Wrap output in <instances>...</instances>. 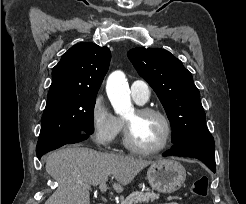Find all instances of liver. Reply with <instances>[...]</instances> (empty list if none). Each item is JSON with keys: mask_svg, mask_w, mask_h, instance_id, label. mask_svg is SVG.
Listing matches in <instances>:
<instances>
[{"mask_svg": "<svg viewBox=\"0 0 246 204\" xmlns=\"http://www.w3.org/2000/svg\"><path fill=\"white\" fill-rule=\"evenodd\" d=\"M152 161L114 153H101L84 147H67L52 152L46 171L58 183L45 204H90L89 186L108 181L120 193Z\"/></svg>", "mask_w": 246, "mask_h": 204, "instance_id": "6515ba94", "label": "liver"}]
</instances>
